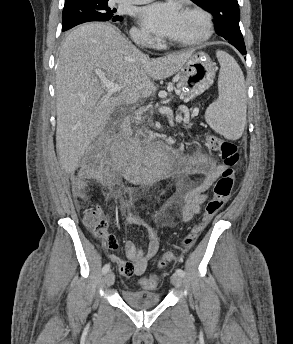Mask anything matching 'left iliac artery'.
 Returning a JSON list of instances; mask_svg holds the SVG:
<instances>
[{"instance_id": "obj_1", "label": "left iliac artery", "mask_w": 293, "mask_h": 344, "mask_svg": "<svg viewBox=\"0 0 293 344\" xmlns=\"http://www.w3.org/2000/svg\"><path fill=\"white\" fill-rule=\"evenodd\" d=\"M175 273L181 277H184V275H185V272L182 269H176Z\"/></svg>"}]
</instances>
